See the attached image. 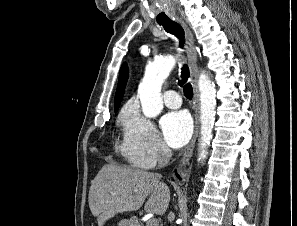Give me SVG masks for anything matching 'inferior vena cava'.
<instances>
[{
  "label": "inferior vena cava",
  "mask_w": 297,
  "mask_h": 226,
  "mask_svg": "<svg viewBox=\"0 0 297 226\" xmlns=\"http://www.w3.org/2000/svg\"><path fill=\"white\" fill-rule=\"evenodd\" d=\"M172 156L171 150L167 146H162L158 155V167L163 168L165 167ZM161 176L160 174H158ZM174 214L172 212L169 213V216L172 217Z\"/></svg>",
  "instance_id": "inferior-vena-cava-1"
}]
</instances>
